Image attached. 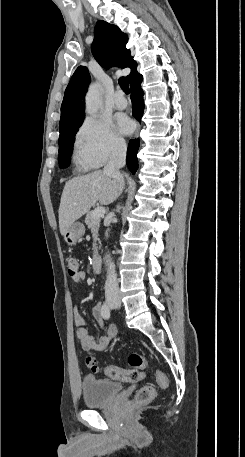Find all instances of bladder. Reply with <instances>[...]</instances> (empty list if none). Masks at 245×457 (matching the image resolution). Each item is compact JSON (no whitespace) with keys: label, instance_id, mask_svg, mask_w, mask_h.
<instances>
[{"label":"bladder","instance_id":"31cf9c89","mask_svg":"<svg viewBox=\"0 0 245 457\" xmlns=\"http://www.w3.org/2000/svg\"><path fill=\"white\" fill-rule=\"evenodd\" d=\"M85 406L109 404L113 395H118L121 389L119 382L95 379L85 376L82 381Z\"/></svg>","mask_w":245,"mask_h":457}]
</instances>
